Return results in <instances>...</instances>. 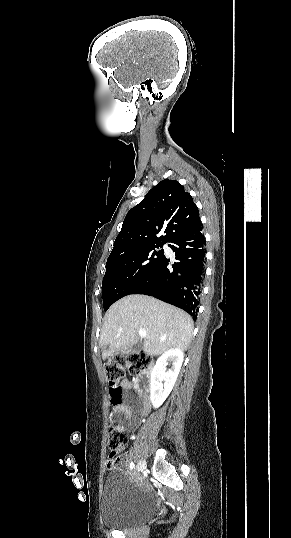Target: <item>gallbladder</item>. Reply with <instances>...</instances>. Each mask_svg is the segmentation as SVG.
Instances as JSON below:
<instances>
[{
	"label": "gallbladder",
	"instance_id": "gallbladder-1",
	"mask_svg": "<svg viewBox=\"0 0 291 538\" xmlns=\"http://www.w3.org/2000/svg\"><path fill=\"white\" fill-rule=\"evenodd\" d=\"M142 347H143L142 344H141L140 342H138V343H136V344H134V345L132 346V350H133V351H139V350L142 349Z\"/></svg>",
	"mask_w": 291,
	"mask_h": 538
}]
</instances>
